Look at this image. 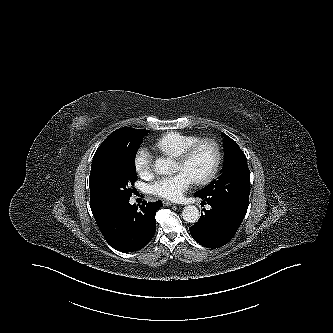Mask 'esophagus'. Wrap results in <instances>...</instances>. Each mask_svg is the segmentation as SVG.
I'll return each instance as SVG.
<instances>
[{"instance_id":"1","label":"esophagus","mask_w":333,"mask_h":333,"mask_svg":"<svg viewBox=\"0 0 333 333\" xmlns=\"http://www.w3.org/2000/svg\"><path fill=\"white\" fill-rule=\"evenodd\" d=\"M162 203H163V205H165V206L176 205V204H174V203H172V202H170V201H167V200H163Z\"/></svg>"}]
</instances>
